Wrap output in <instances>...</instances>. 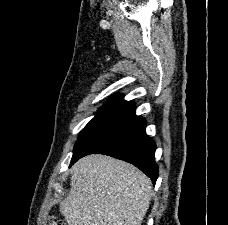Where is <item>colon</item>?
I'll list each match as a JSON object with an SVG mask.
<instances>
[{
  "label": "colon",
  "instance_id": "colon-1",
  "mask_svg": "<svg viewBox=\"0 0 228 225\" xmlns=\"http://www.w3.org/2000/svg\"><path fill=\"white\" fill-rule=\"evenodd\" d=\"M48 225H65V223L56 218H50Z\"/></svg>",
  "mask_w": 228,
  "mask_h": 225
}]
</instances>
